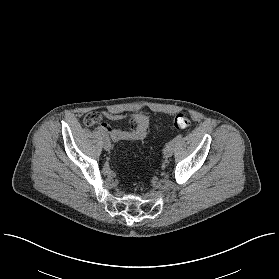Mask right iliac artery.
<instances>
[{
    "label": "right iliac artery",
    "mask_w": 279,
    "mask_h": 279,
    "mask_svg": "<svg viewBox=\"0 0 279 279\" xmlns=\"http://www.w3.org/2000/svg\"><path fill=\"white\" fill-rule=\"evenodd\" d=\"M98 131L101 133V135L105 138H108L107 134L102 132V130L100 129V127H97Z\"/></svg>",
    "instance_id": "1"
}]
</instances>
